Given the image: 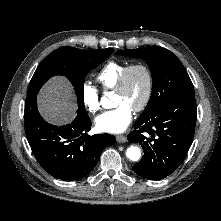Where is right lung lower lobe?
Returning <instances> with one entry per match:
<instances>
[{"instance_id": "98d812e1", "label": "right lung lower lobe", "mask_w": 221, "mask_h": 221, "mask_svg": "<svg viewBox=\"0 0 221 221\" xmlns=\"http://www.w3.org/2000/svg\"><path fill=\"white\" fill-rule=\"evenodd\" d=\"M90 126L84 108H78L71 123L54 126L40 116L36 96L25 101V132L32 152L41 167L57 179L73 181L87 176L103 149L115 143L110 134L88 135Z\"/></svg>"}]
</instances>
